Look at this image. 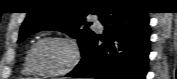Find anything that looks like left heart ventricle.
Masks as SVG:
<instances>
[{
  "label": "left heart ventricle",
  "instance_id": "1",
  "mask_svg": "<svg viewBox=\"0 0 177 79\" xmlns=\"http://www.w3.org/2000/svg\"><path fill=\"white\" fill-rule=\"evenodd\" d=\"M72 58V49L69 44L49 40L41 43L34 52L37 66L45 71H57L64 68Z\"/></svg>",
  "mask_w": 177,
  "mask_h": 79
}]
</instances>
